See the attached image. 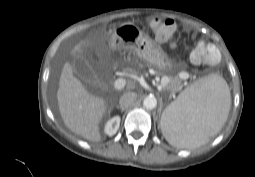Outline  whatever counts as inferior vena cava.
I'll return each instance as SVG.
<instances>
[{"label": "inferior vena cava", "mask_w": 255, "mask_h": 177, "mask_svg": "<svg viewBox=\"0 0 255 177\" xmlns=\"http://www.w3.org/2000/svg\"><path fill=\"white\" fill-rule=\"evenodd\" d=\"M137 99V94L134 92H127L123 94L120 98L119 104L122 108H128L131 106Z\"/></svg>", "instance_id": "inferior-vena-cava-1"}]
</instances>
